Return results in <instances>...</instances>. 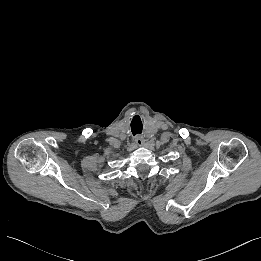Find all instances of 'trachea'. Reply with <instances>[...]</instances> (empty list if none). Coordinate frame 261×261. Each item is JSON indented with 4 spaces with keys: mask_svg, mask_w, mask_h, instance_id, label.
I'll return each mask as SVG.
<instances>
[{
    "mask_svg": "<svg viewBox=\"0 0 261 261\" xmlns=\"http://www.w3.org/2000/svg\"><path fill=\"white\" fill-rule=\"evenodd\" d=\"M132 133L134 134V135H136V134H138V133H141V130H132Z\"/></svg>",
    "mask_w": 261,
    "mask_h": 261,
    "instance_id": "1",
    "label": "trachea"
}]
</instances>
